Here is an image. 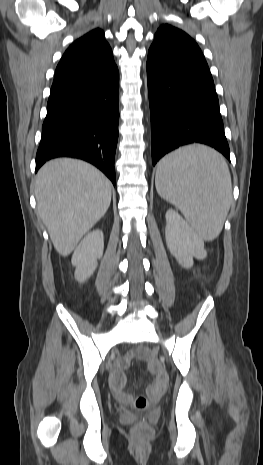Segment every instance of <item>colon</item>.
I'll use <instances>...</instances> for the list:
<instances>
[{
    "instance_id": "1",
    "label": "colon",
    "mask_w": 263,
    "mask_h": 465,
    "mask_svg": "<svg viewBox=\"0 0 263 465\" xmlns=\"http://www.w3.org/2000/svg\"><path fill=\"white\" fill-rule=\"evenodd\" d=\"M161 394L160 391H154L150 394V397L151 398H156L158 397L159 395ZM150 404V401L149 399L147 398H144V397H139L136 399L135 401V406L139 409H145L149 406ZM150 430L149 426L143 422H140L137 424L136 426V431L139 433V434H146L148 433Z\"/></svg>"
}]
</instances>
